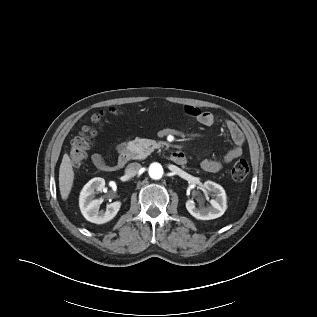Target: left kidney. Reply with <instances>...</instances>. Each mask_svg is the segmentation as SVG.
Returning a JSON list of instances; mask_svg holds the SVG:
<instances>
[{
    "label": "left kidney",
    "mask_w": 317,
    "mask_h": 317,
    "mask_svg": "<svg viewBox=\"0 0 317 317\" xmlns=\"http://www.w3.org/2000/svg\"><path fill=\"white\" fill-rule=\"evenodd\" d=\"M203 187L215 197L210 200L211 207L197 208L193 200L186 202L188 212L200 220H211L222 216L227 208L226 193L222 186L212 181H206Z\"/></svg>",
    "instance_id": "obj_1"
}]
</instances>
